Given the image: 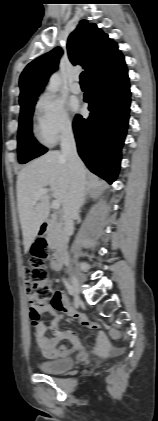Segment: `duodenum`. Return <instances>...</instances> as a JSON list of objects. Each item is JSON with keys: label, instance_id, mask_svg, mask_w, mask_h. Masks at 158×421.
<instances>
[{"label": "duodenum", "instance_id": "410a0bca", "mask_svg": "<svg viewBox=\"0 0 158 421\" xmlns=\"http://www.w3.org/2000/svg\"><path fill=\"white\" fill-rule=\"evenodd\" d=\"M49 220H44L40 226V235H43L48 228ZM66 255V246H60L52 256L51 267L54 270H60L63 266Z\"/></svg>", "mask_w": 158, "mask_h": 421}]
</instances>
